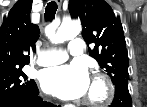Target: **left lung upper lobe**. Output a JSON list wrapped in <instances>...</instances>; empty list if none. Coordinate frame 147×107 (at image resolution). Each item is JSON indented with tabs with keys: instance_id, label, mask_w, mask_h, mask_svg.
Wrapping results in <instances>:
<instances>
[{
	"instance_id": "obj_1",
	"label": "left lung upper lobe",
	"mask_w": 147,
	"mask_h": 107,
	"mask_svg": "<svg viewBox=\"0 0 147 107\" xmlns=\"http://www.w3.org/2000/svg\"><path fill=\"white\" fill-rule=\"evenodd\" d=\"M69 12L79 18L89 55L111 77L114 85L128 81V53L122 24L104 0H69Z\"/></svg>"
}]
</instances>
